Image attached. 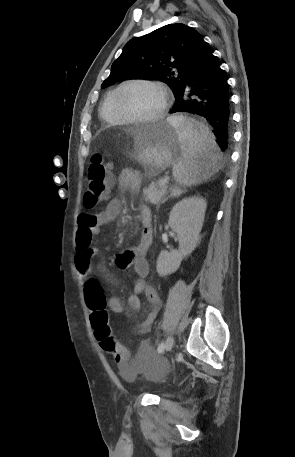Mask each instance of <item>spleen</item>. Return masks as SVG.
I'll return each instance as SVG.
<instances>
[{
	"label": "spleen",
	"instance_id": "spleen-1",
	"mask_svg": "<svg viewBox=\"0 0 295 457\" xmlns=\"http://www.w3.org/2000/svg\"><path fill=\"white\" fill-rule=\"evenodd\" d=\"M178 132L182 157L173 167L175 180L185 186L201 183L220 168L221 153L209 128L184 116L167 119Z\"/></svg>",
	"mask_w": 295,
	"mask_h": 457
}]
</instances>
